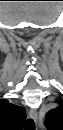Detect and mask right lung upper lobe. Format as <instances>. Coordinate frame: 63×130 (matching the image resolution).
Returning a JSON list of instances; mask_svg holds the SVG:
<instances>
[{
  "label": "right lung upper lobe",
  "mask_w": 63,
  "mask_h": 130,
  "mask_svg": "<svg viewBox=\"0 0 63 130\" xmlns=\"http://www.w3.org/2000/svg\"><path fill=\"white\" fill-rule=\"evenodd\" d=\"M25 118L26 113L23 107L14 105L6 99L0 101L1 126H5L7 130H21Z\"/></svg>",
  "instance_id": "cb5924a9"
}]
</instances>
